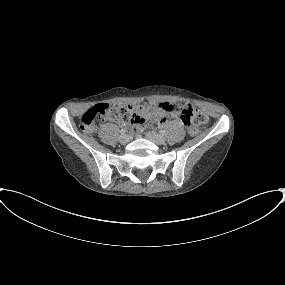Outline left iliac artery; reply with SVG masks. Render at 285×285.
<instances>
[{
    "label": "left iliac artery",
    "mask_w": 285,
    "mask_h": 285,
    "mask_svg": "<svg viewBox=\"0 0 285 285\" xmlns=\"http://www.w3.org/2000/svg\"><path fill=\"white\" fill-rule=\"evenodd\" d=\"M160 134H161L162 136H165V135H166V131H165V130H161V131H160Z\"/></svg>",
    "instance_id": "44dca946"
}]
</instances>
